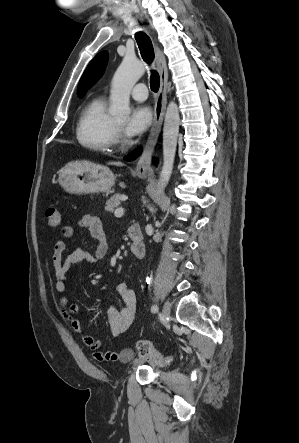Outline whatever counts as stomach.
<instances>
[{
  "mask_svg": "<svg viewBox=\"0 0 299 443\" xmlns=\"http://www.w3.org/2000/svg\"><path fill=\"white\" fill-rule=\"evenodd\" d=\"M137 175L140 178L146 177V173ZM115 179L108 167L72 162L59 171L58 182L70 194H88L109 191L114 186Z\"/></svg>",
  "mask_w": 299,
  "mask_h": 443,
  "instance_id": "0dacf381",
  "label": "stomach"
}]
</instances>
